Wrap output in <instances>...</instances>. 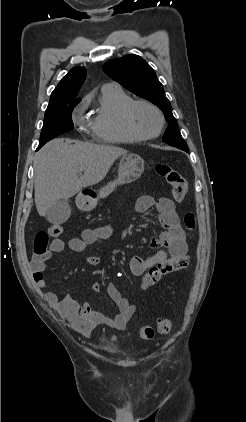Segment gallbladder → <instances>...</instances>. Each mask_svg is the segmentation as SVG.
<instances>
[{
	"label": "gallbladder",
	"mask_w": 246,
	"mask_h": 422,
	"mask_svg": "<svg viewBox=\"0 0 246 422\" xmlns=\"http://www.w3.org/2000/svg\"><path fill=\"white\" fill-rule=\"evenodd\" d=\"M71 214V208L67 199H60L53 204L46 212V219L52 224L66 222Z\"/></svg>",
	"instance_id": "bac80fb5"
}]
</instances>
